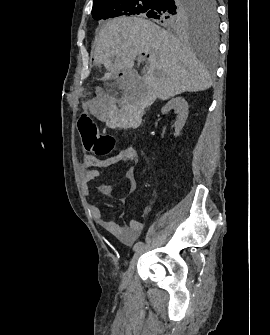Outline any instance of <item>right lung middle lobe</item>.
<instances>
[{
  "instance_id": "right-lung-middle-lobe-1",
  "label": "right lung middle lobe",
  "mask_w": 270,
  "mask_h": 335,
  "mask_svg": "<svg viewBox=\"0 0 270 335\" xmlns=\"http://www.w3.org/2000/svg\"><path fill=\"white\" fill-rule=\"evenodd\" d=\"M130 15H146L171 29L205 28L212 37L218 27L214 0H99L92 8L95 20Z\"/></svg>"
}]
</instances>
